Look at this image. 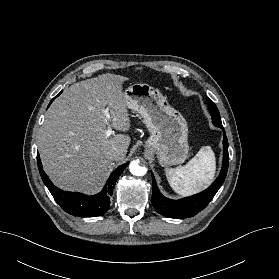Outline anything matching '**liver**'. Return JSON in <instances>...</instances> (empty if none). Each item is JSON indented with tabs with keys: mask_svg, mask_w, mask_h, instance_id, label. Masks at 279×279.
I'll return each instance as SVG.
<instances>
[{
	"mask_svg": "<svg viewBox=\"0 0 279 279\" xmlns=\"http://www.w3.org/2000/svg\"><path fill=\"white\" fill-rule=\"evenodd\" d=\"M127 77L102 74L77 82L50 106L37 136L45 172L60 189L86 194L98 192L113 161H123L130 137H106L107 126L119 131L130 128L122 84ZM110 111V119L103 110ZM121 154L111 158L109 152Z\"/></svg>",
	"mask_w": 279,
	"mask_h": 279,
	"instance_id": "liver-1",
	"label": "liver"
}]
</instances>
